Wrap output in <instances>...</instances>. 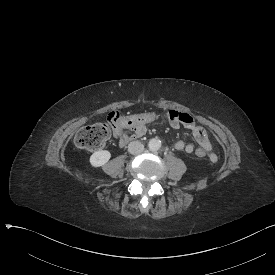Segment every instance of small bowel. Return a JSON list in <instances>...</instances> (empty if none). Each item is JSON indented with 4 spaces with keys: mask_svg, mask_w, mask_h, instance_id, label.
Listing matches in <instances>:
<instances>
[{
    "mask_svg": "<svg viewBox=\"0 0 275 275\" xmlns=\"http://www.w3.org/2000/svg\"><path fill=\"white\" fill-rule=\"evenodd\" d=\"M169 115V123L173 129H178L180 126H184L189 129L197 143L203 148L205 151L210 153V160L212 162L217 161V157L214 153H212V145L208 138L206 131L199 125H197L193 119V117L186 113L176 111L171 108L168 110ZM146 133V126L144 122L135 123L133 125H123L114 127V134L119 139L121 143L128 141L129 139H137L142 137ZM173 147L176 150H184L187 153H192L194 150V146L180 139L177 140Z\"/></svg>",
    "mask_w": 275,
    "mask_h": 275,
    "instance_id": "obj_1",
    "label": "small bowel"
}]
</instances>
